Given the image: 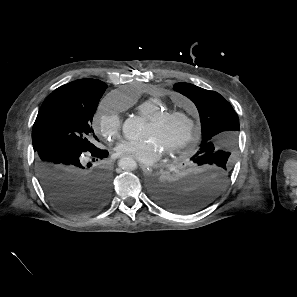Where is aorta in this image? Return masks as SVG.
Wrapping results in <instances>:
<instances>
[{
	"label": "aorta",
	"mask_w": 297,
	"mask_h": 297,
	"mask_svg": "<svg viewBox=\"0 0 297 297\" xmlns=\"http://www.w3.org/2000/svg\"><path fill=\"white\" fill-rule=\"evenodd\" d=\"M143 130V121L135 116L127 118L122 125L123 135L130 141L139 140L143 135ZM118 165L123 170H135L137 167L136 161L131 157L121 158Z\"/></svg>",
	"instance_id": "obj_1"
}]
</instances>
